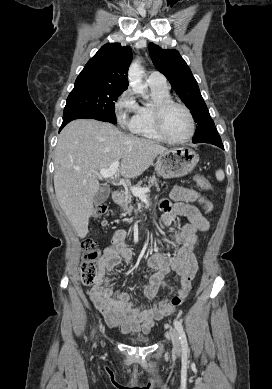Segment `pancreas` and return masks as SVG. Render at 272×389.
<instances>
[{"label":"pancreas","mask_w":272,"mask_h":389,"mask_svg":"<svg viewBox=\"0 0 272 389\" xmlns=\"http://www.w3.org/2000/svg\"><path fill=\"white\" fill-rule=\"evenodd\" d=\"M158 179L153 176L152 178L150 177L148 180H144V182H147L149 186H156L158 187ZM142 183L143 181H140L138 184H137V188H142ZM122 195V198H123V203L121 204L122 208L124 211H127V212H130L131 211V202L133 200V196L129 193V192H124L121 194ZM136 198H138V196H135Z\"/></svg>","instance_id":"1"}]
</instances>
